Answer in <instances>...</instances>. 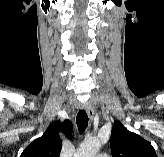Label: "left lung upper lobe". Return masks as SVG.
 Instances as JSON below:
<instances>
[{"label": "left lung upper lobe", "instance_id": "5c2ea615", "mask_svg": "<svg viewBox=\"0 0 164 157\" xmlns=\"http://www.w3.org/2000/svg\"><path fill=\"white\" fill-rule=\"evenodd\" d=\"M112 157H157L152 145L141 136L115 122L111 131Z\"/></svg>", "mask_w": 164, "mask_h": 157}]
</instances>
